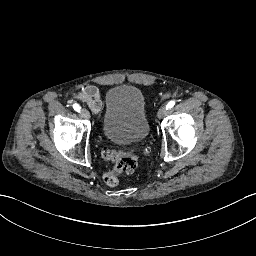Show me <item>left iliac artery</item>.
<instances>
[{
    "label": "left iliac artery",
    "mask_w": 256,
    "mask_h": 256,
    "mask_svg": "<svg viewBox=\"0 0 256 256\" xmlns=\"http://www.w3.org/2000/svg\"><path fill=\"white\" fill-rule=\"evenodd\" d=\"M175 105V101H170L167 105H166V107H167V109H171L173 106Z\"/></svg>",
    "instance_id": "44dca946"
}]
</instances>
